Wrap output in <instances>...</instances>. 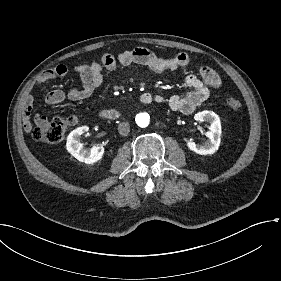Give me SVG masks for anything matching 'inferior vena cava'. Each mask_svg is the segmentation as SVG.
Returning <instances> with one entry per match:
<instances>
[{
    "instance_id": "inferior-vena-cava-1",
    "label": "inferior vena cava",
    "mask_w": 281,
    "mask_h": 281,
    "mask_svg": "<svg viewBox=\"0 0 281 281\" xmlns=\"http://www.w3.org/2000/svg\"><path fill=\"white\" fill-rule=\"evenodd\" d=\"M118 132L120 135L122 136H127L130 132V127H129V124L128 123H120L118 125Z\"/></svg>"
}]
</instances>
